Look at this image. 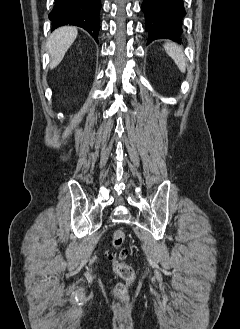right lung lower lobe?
<instances>
[{
	"label": "right lung lower lobe",
	"mask_w": 240,
	"mask_h": 329,
	"mask_svg": "<svg viewBox=\"0 0 240 329\" xmlns=\"http://www.w3.org/2000/svg\"><path fill=\"white\" fill-rule=\"evenodd\" d=\"M100 0H55L49 14L52 30L73 25L85 29L98 42Z\"/></svg>",
	"instance_id": "right-lung-lower-lobe-1"
}]
</instances>
